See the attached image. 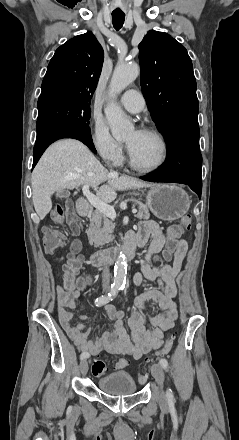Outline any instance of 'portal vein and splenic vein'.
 Wrapping results in <instances>:
<instances>
[{
    "instance_id": "portal-vein-and-splenic-vein-1",
    "label": "portal vein and splenic vein",
    "mask_w": 239,
    "mask_h": 440,
    "mask_svg": "<svg viewBox=\"0 0 239 440\" xmlns=\"http://www.w3.org/2000/svg\"><path fill=\"white\" fill-rule=\"evenodd\" d=\"M82 192L84 196H86L88 202H90L91 206H94L96 210H99V212H102V214H105V216H108V218H111V220H115L116 212L114 210V206H109V204H105V202H101L99 198H96L94 194H91L88 184H85V186H83ZM132 214L138 215L136 209L132 210Z\"/></svg>"
}]
</instances>
